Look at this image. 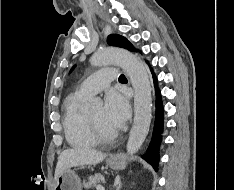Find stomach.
<instances>
[{
    "label": "stomach",
    "mask_w": 234,
    "mask_h": 190,
    "mask_svg": "<svg viewBox=\"0 0 234 190\" xmlns=\"http://www.w3.org/2000/svg\"><path fill=\"white\" fill-rule=\"evenodd\" d=\"M107 164L113 169H123L125 160L118 155L114 160L109 159ZM55 181L54 190H82L80 178L70 168L63 171Z\"/></svg>",
    "instance_id": "obj_1"
}]
</instances>
